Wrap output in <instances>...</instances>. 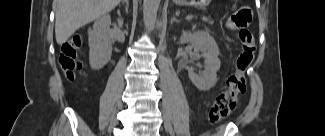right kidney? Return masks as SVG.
Segmentation results:
<instances>
[{
  "label": "right kidney",
  "mask_w": 325,
  "mask_h": 136,
  "mask_svg": "<svg viewBox=\"0 0 325 136\" xmlns=\"http://www.w3.org/2000/svg\"><path fill=\"white\" fill-rule=\"evenodd\" d=\"M110 25L111 17L105 14L95 21L93 30L89 32V63L94 70L103 68L111 58ZM122 25L123 20L118 19V26L122 27Z\"/></svg>",
  "instance_id": "1"
}]
</instances>
